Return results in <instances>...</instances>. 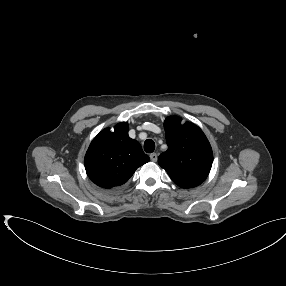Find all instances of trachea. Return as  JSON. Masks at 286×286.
Segmentation results:
<instances>
[{
	"mask_svg": "<svg viewBox=\"0 0 286 286\" xmlns=\"http://www.w3.org/2000/svg\"><path fill=\"white\" fill-rule=\"evenodd\" d=\"M144 150L147 153H152L155 150V143L152 139H147L144 142Z\"/></svg>",
	"mask_w": 286,
	"mask_h": 286,
	"instance_id": "3493384b",
	"label": "trachea"
}]
</instances>
